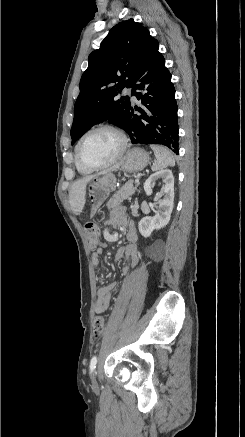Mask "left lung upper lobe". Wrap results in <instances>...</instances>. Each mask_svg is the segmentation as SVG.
I'll list each match as a JSON object with an SVG mask.
<instances>
[{"mask_svg": "<svg viewBox=\"0 0 245 437\" xmlns=\"http://www.w3.org/2000/svg\"><path fill=\"white\" fill-rule=\"evenodd\" d=\"M149 30L133 19L115 25L88 57L71 128L72 144L93 125L109 120L125 130L131 107L129 97H115L132 87L145 59L158 46Z\"/></svg>", "mask_w": 245, "mask_h": 437, "instance_id": "obj_1", "label": "left lung upper lobe"}]
</instances>
